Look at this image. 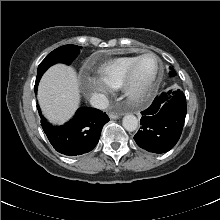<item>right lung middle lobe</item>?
Here are the masks:
<instances>
[{
	"mask_svg": "<svg viewBox=\"0 0 220 220\" xmlns=\"http://www.w3.org/2000/svg\"><path fill=\"white\" fill-rule=\"evenodd\" d=\"M80 48L76 45H64L49 53L38 66L36 79H40L43 73L55 63L70 64L78 56Z\"/></svg>",
	"mask_w": 220,
	"mask_h": 220,
	"instance_id": "right-lung-middle-lobe-1",
	"label": "right lung middle lobe"
}]
</instances>
